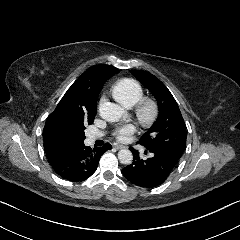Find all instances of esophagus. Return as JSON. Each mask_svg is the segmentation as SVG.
<instances>
[{
    "mask_svg": "<svg viewBox=\"0 0 240 240\" xmlns=\"http://www.w3.org/2000/svg\"><path fill=\"white\" fill-rule=\"evenodd\" d=\"M115 148L117 149V150H119V149H124V148H127V146H125V145H115Z\"/></svg>",
    "mask_w": 240,
    "mask_h": 240,
    "instance_id": "34e87169",
    "label": "esophagus"
}]
</instances>
